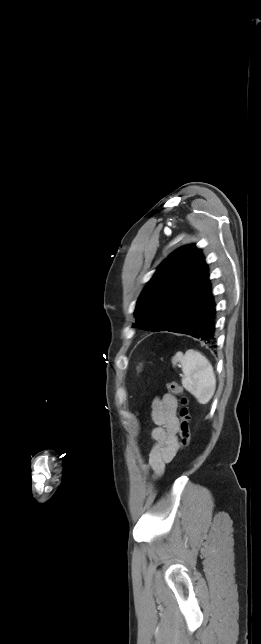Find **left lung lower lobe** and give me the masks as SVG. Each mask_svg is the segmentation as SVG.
Listing matches in <instances>:
<instances>
[{
	"mask_svg": "<svg viewBox=\"0 0 261 644\" xmlns=\"http://www.w3.org/2000/svg\"><path fill=\"white\" fill-rule=\"evenodd\" d=\"M216 303L212 292L178 325L168 331L190 335L216 347Z\"/></svg>",
	"mask_w": 261,
	"mask_h": 644,
	"instance_id": "1",
	"label": "left lung lower lobe"
}]
</instances>
